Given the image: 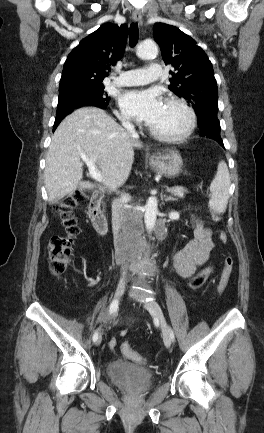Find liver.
<instances>
[{
    "mask_svg": "<svg viewBox=\"0 0 264 433\" xmlns=\"http://www.w3.org/2000/svg\"><path fill=\"white\" fill-rule=\"evenodd\" d=\"M134 148L141 149L142 143L102 109L74 111L60 123L48 149L44 170L48 201H57L78 188L95 187L82 181V154L96 159L105 186L124 184L131 172Z\"/></svg>",
    "mask_w": 264,
    "mask_h": 433,
    "instance_id": "liver-1",
    "label": "liver"
}]
</instances>
